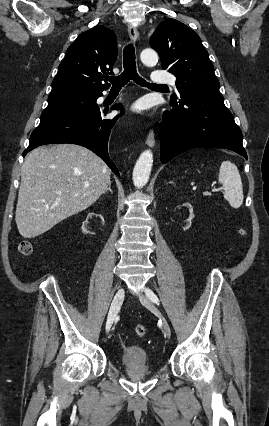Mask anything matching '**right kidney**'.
<instances>
[{
	"instance_id": "1",
	"label": "right kidney",
	"mask_w": 269,
	"mask_h": 426,
	"mask_svg": "<svg viewBox=\"0 0 269 426\" xmlns=\"http://www.w3.org/2000/svg\"><path fill=\"white\" fill-rule=\"evenodd\" d=\"M94 216H99V222H91L95 220ZM85 223L82 225V231L86 234L93 235L96 231H101L104 228V217L95 213H89L88 217L85 218ZM90 222V223H89Z\"/></svg>"
}]
</instances>
